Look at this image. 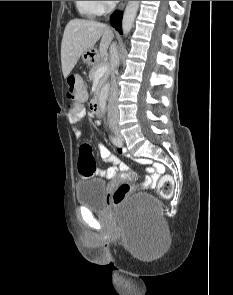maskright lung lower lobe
<instances>
[{"mask_svg":"<svg viewBox=\"0 0 233 295\" xmlns=\"http://www.w3.org/2000/svg\"><path fill=\"white\" fill-rule=\"evenodd\" d=\"M121 21H122V12L115 11L113 15L111 16V24L117 31H119L120 34H122L121 29Z\"/></svg>","mask_w":233,"mask_h":295,"instance_id":"right-lung-lower-lobe-1","label":"right lung lower lobe"}]
</instances>
